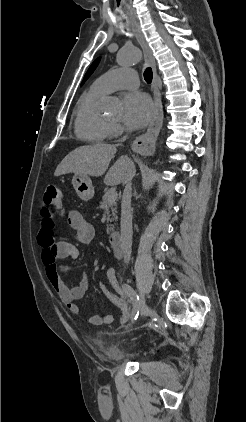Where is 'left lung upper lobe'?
<instances>
[{"label": "left lung upper lobe", "instance_id": "1", "mask_svg": "<svg viewBox=\"0 0 246 422\" xmlns=\"http://www.w3.org/2000/svg\"><path fill=\"white\" fill-rule=\"evenodd\" d=\"M100 61V58H97L92 65L90 66V68L88 69L87 73L84 76V79L81 83V85H83V83L90 77V75L93 73V71L95 70V68L97 67L98 63Z\"/></svg>", "mask_w": 246, "mask_h": 422}]
</instances>
